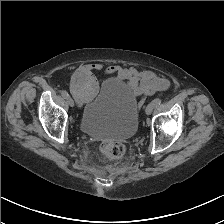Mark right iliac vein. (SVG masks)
<instances>
[{
	"mask_svg": "<svg viewBox=\"0 0 224 224\" xmlns=\"http://www.w3.org/2000/svg\"><path fill=\"white\" fill-rule=\"evenodd\" d=\"M67 103L69 104V106L73 107L74 106V101L71 97L67 98Z\"/></svg>",
	"mask_w": 224,
	"mask_h": 224,
	"instance_id": "obj_1",
	"label": "right iliac vein"
}]
</instances>
